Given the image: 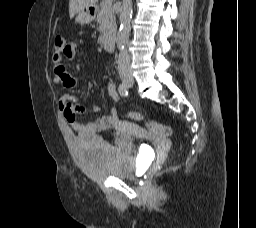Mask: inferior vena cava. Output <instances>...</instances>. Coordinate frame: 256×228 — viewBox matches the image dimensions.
I'll use <instances>...</instances> for the list:
<instances>
[{"mask_svg": "<svg viewBox=\"0 0 256 228\" xmlns=\"http://www.w3.org/2000/svg\"><path fill=\"white\" fill-rule=\"evenodd\" d=\"M118 72L120 76L131 73V60L129 53L126 49L121 51L118 56Z\"/></svg>", "mask_w": 256, "mask_h": 228, "instance_id": "1", "label": "inferior vena cava"}]
</instances>
